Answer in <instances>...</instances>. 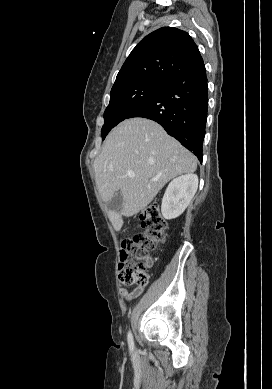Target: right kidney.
<instances>
[{
    "label": "right kidney",
    "mask_w": 272,
    "mask_h": 389,
    "mask_svg": "<svg viewBox=\"0 0 272 389\" xmlns=\"http://www.w3.org/2000/svg\"><path fill=\"white\" fill-rule=\"evenodd\" d=\"M198 188V176L188 173L173 179L163 196L161 212L165 219L179 217L189 205Z\"/></svg>",
    "instance_id": "1"
}]
</instances>
